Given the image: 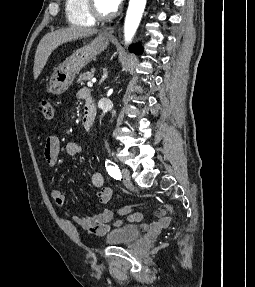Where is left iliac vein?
Masks as SVG:
<instances>
[{
  "label": "left iliac vein",
  "mask_w": 255,
  "mask_h": 287,
  "mask_svg": "<svg viewBox=\"0 0 255 287\" xmlns=\"http://www.w3.org/2000/svg\"><path fill=\"white\" fill-rule=\"evenodd\" d=\"M122 180L126 185L130 184L131 173H130V170L128 168L122 169Z\"/></svg>",
  "instance_id": "1"
}]
</instances>
